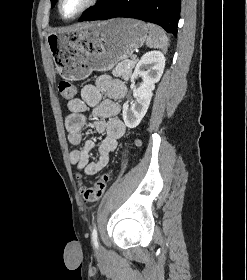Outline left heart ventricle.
Masks as SVG:
<instances>
[{"label":"left heart ventricle","mask_w":247,"mask_h":280,"mask_svg":"<svg viewBox=\"0 0 247 280\" xmlns=\"http://www.w3.org/2000/svg\"><path fill=\"white\" fill-rule=\"evenodd\" d=\"M87 2V0H64L61 11L64 17H71L77 13Z\"/></svg>","instance_id":"obj_1"}]
</instances>
